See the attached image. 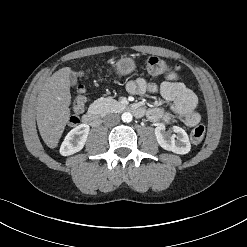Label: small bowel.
Instances as JSON below:
<instances>
[{"mask_svg": "<svg viewBox=\"0 0 247 247\" xmlns=\"http://www.w3.org/2000/svg\"><path fill=\"white\" fill-rule=\"evenodd\" d=\"M127 91L133 95L159 94L171 103L168 110L150 108L147 117L152 122L180 120L188 127L200 122V114L196 110L197 95L192 87L179 80L176 73L167 74L161 82L148 81L144 78L131 80L127 83Z\"/></svg>", "mask_w": 247, "mask_h": 247, "instance_id": "small-bowel-1", "label": "small bowel"}]
</instances>
